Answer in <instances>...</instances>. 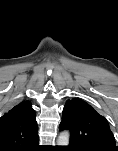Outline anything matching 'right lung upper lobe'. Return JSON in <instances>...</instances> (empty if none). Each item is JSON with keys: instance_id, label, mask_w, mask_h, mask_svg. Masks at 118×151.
Returning <instances> with one entry per match:
<instances>
[{"instance_id": "1", "label": "right lung upper lobe", "mask_w": 118, "mask_h": 151, "mask_svg": "<svg viewBox=\"0 0 118 151\" xmlns=\"http://www.w3.org/2000/svg\"><path fill=\"white\" fill-rule=\"evenodd\" d=\"M36 113L29 101L0 118V151H31L38 143Z\"/></svg>"}]
</instances>
